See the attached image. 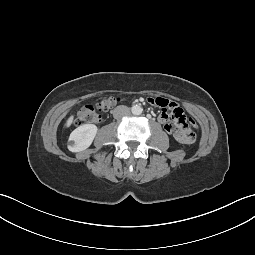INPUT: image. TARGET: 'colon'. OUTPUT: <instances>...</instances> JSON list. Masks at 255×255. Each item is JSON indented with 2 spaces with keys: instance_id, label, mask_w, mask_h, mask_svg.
Wrapping results in <instances>:
<instances>
[{
  "instance_id": "obj_1",
  "label": "colon",
  "mask_w": 255,
  "mask_h": 255,
  "mask_svg": "<svg viewBox=\"0 0 255 255\" xmlns=\"http://www.w3.org/2000/svg\"><path fill=\"white\" fill-rule=\"evenodd\" d=\"M119 98L115 96H105L100 101L94 104L84 105L79 109L76 116V124L84 125L87 123H96L100 120V112H105L112 108ZM186 120L193 130H198L197 124L191 115L186 117ZM179 142V141H178Z\"/></svg>"
}]
</instances>
